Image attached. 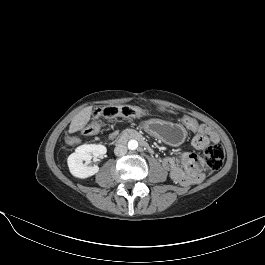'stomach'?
Listing matches in <instances>:
<instances>
[{"instance_id":"1","label":"stomach","mask_w":265,"mask_h":265,"mask_svg":"<svg viewBox=\"0 0 265 265\" xmlns=\"http://www.w3.org/2000/svg\"><path fill=\"white\" fill-rule=\"evenodd\" d=\"M144 130L154 138L171 146L181 145L187 136L181 125L161 119L147 120L144 123Z\"/></svg>"}]
</instances>
